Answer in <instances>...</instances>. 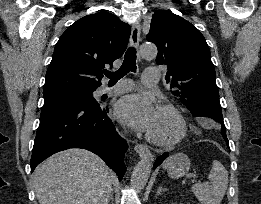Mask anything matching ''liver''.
Masks as SVG:
<instances>
[{"label": "liver", "instance_id": "1", "mask_svg": "<svg viewBox=\"0 0 261 204\" xmlns=\"http://www.w3.org/2000/svg\"><path fill=\"white\" fill-rule=\"evenodd\" d=\"M34 188L39 204H108L109 168L85 149L58 152L37 166Z\"/></svg>", "mask_w": 261, "mask_h": 204}]
</instances>
